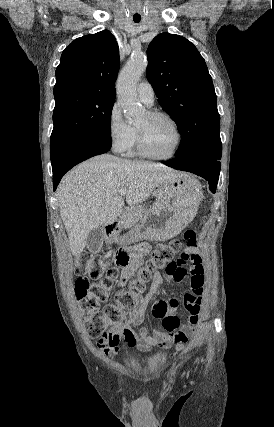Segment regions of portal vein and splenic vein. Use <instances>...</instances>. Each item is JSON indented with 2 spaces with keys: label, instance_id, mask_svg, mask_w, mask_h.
<instances>
[{
  "label": "portal vein and splenic vein",
  "instance_id": "18ae733b",
  "mask_svg": "<svg viewBox=\"0 0 274 427\" xmlns=\"http://www.w3.org/2000/svg\"><path fill=\"white\" fill-rule=\"evenodd\" d=\"M119 196H126L127 192L126 190H118Z\"/></svg>",
  "mask_w": 274,
  "mask_h": 427
}]
</instances>
